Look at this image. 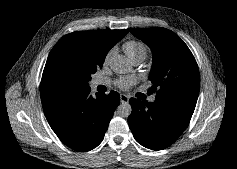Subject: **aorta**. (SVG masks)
<instances>
[{"label":"aorta","mask_w":237,"mask_h":169,"mask_svg":"<svg viewBox=\"0 0 237 169\" xmlns=\"http://www.w3.org/2000/svg\"><path fill=\"white\" fill-rule=\"evenodd\" d=\"M110 68L118 74H126L132 71V62L124 55H116L111 59ZM132 112L128 102H122L117 107V114L122 118H128Z\"/></svg>","instance_id":"aorta-1"}]
</instances>
